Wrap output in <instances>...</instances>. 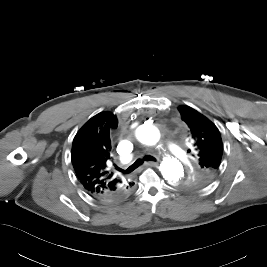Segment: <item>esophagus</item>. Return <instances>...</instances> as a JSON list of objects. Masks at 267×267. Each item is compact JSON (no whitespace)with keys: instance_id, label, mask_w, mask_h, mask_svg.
I'll list each match as a JSON object with an SVG mask.
<instances>
[{"instance_id":"1","label":"esophagus","mask_w":267,"mask_h":267,"mask_svg":"<svg viewBox=\"0 0 267 267\" xmlns=\"http://www.w3.org/2000/svg\"><path fill=\"white\" fill-rule=\"evenodd\" d=\"M144 165L155 167L158 165V162L148 161V162H145Z\"/></svg>"}]
</instances>
